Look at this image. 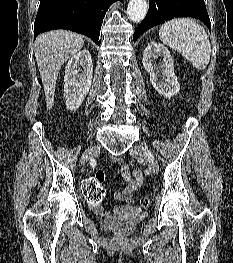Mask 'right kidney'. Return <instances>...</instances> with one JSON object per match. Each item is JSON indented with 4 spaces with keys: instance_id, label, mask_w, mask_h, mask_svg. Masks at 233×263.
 Segmentation results:
<instances>
[{
    "instance_id": "right-kidney-1",
    "label": "right kidney",
    "mask_w": 233,
    "mask_h": 263,
    "mask_svg": "<svg viewBox=\"0 0 233 263\" xmlns=\"http://www.w3.org/2000/svg\"><path fill=\"white\" fill-rule=\"evenodd\" d=\"M93 64L91 54L83 49L71 57L65 68L64 97L67 109L80 107L91 87Z\"/></svg>"
}]
</instances>
